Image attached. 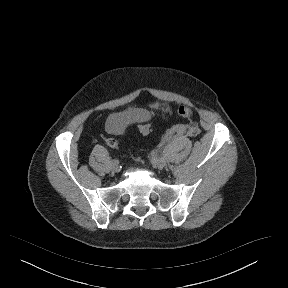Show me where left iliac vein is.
I'll return each mask as SVG.
<instances>
[{
    "label": "left iliac vein",
    "instance_id": "obj_1",
    "mask_svg": "<svg viewBox=\"0 0 288 288\" xmlns=\"http://www.w3.org/2000/svg\"><path fill=\"white\" fill-rule=\"evenodd\" d=\"M152 165L155 167V168H158V169H163L166 165V161L164 158L162 157H154L152 159Z\"/></svg>",
    "mask_w": 288,
    "mask_h": 288
}]
</instances>
